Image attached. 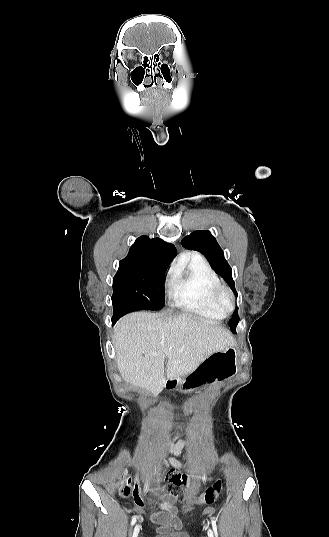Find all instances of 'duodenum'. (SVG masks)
Returning <instances> with one entry per match:
<instances>
[{
  "instance_id": "obj_1",
  "label": "duodenum",
  "mask_w": 329,
  "mask_h": 537,
  "mask_svg": "<svg viewBox=\"0 0 329 537\" xmlns=\"http://www.w3.org/2000/svg\"><path fill=\"white\" fill-rule=\"evenodd\" d=\"M177 385V381L174 380V379H168L166 382H165V388L167 390H171V389H174Z\"/></svg>"
}]
</instances>
